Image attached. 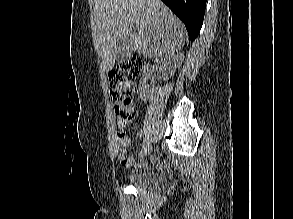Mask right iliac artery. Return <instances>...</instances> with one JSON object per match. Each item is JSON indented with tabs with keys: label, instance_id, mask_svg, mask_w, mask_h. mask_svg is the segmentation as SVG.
Listing matches in <instances>:
<instances>
[{
	"label": "right iliac artery",
	"instance_id": "obj_1",
	"mask_svg": "<svg viewBox=\"0 0 293 219\" xmlns=\"http://www.w3.org/2000/svg\"><path fill=\"white\" fill-rule=\"evenodd\" d=\"M147 144H148V139H145L144 142H143V144H142V148H143L145 145H147Z\"/></svg>",
	"mask_w": 293,
	"mask_h": 219
}]
</instances>
